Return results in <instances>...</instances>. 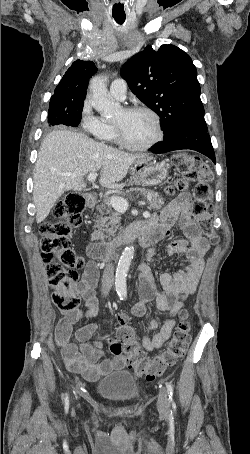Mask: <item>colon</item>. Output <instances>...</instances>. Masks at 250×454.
I'll use <instances>...</instances> for the list:
<instances>
[{
	"instance_id": "1",
	"label": "colon",
	"mask_w": 250,
	"mask_h": 454,
	"mask_svg": "<svg viewBox=\"0 0 250 454\" xmlns=\"http://www.w3.org/2000/svg\"><path fill=\"white\" fill-rule=\"evenodd\" d=\"M173 162L180 176L167 187L166 192L174 194L184 191L190 183L196 182L193 189V216L199 229L209 238L211 244H217L219 237L214 231L210 207L207 204V199L211 195L210 183L213 179L210 167L198 156L189 153L175 155ZM85 206L86 200L83 195L69 193L56 204L53 217L44 222L40 228L43 235L41 256L52 289V300L63 312L75 311L80 304L75 284L78 280V272L84 263L72 249L71 238L74 227L82 221L81 214ZM187 317V313H183L166 349L155 357L147 358L138 347L127 316L122 315L119 318L120 325L116 331V338L109 340L110 352L116 356L125 355L129 366L138 375L154 380L163 375L185 354L191 332Z\"/></svg>"
}]
</instances>
